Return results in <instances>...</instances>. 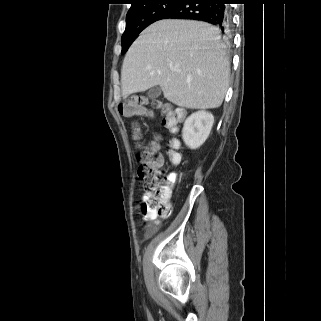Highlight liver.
I'll use <instances>...</instances> for the list:
<instances>
[{"mask_svg": "<svg viewBox=\"0 0 321 321\" xmlns=\"http://www.w3.org/2000/svg\"><path fill=\"white\" fill-rule=\"evenodd\" d=\"M230 65L219 30L204 22L160 20L147 27L126 53L122 96L160 86L179 107L214 109L229 85Z\"/></svg>", "mask_w": 321, "mask_h": 321, "instance_id": "obj_1", "label": "liver"}]
</instances>
